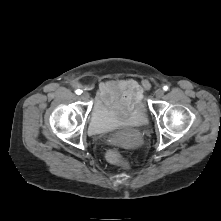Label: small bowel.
<instances>
[{"label":"small bowel","mask_w":221,"mask_h":221,"mask_svg":"<svg viewBox=\"0 0 221 221\" xmlns=\"http://www.w3.org/2000/svg\"><path fill=\"white\" fill-rule=\"evenodd\" d=\"M148 83H139L134 79H123L118 81H105L100 84V95L108 105L122 104L127 109L133 110L142 100L143 92Z\"/></svg>","instance_id":"1"}]
</instances>
